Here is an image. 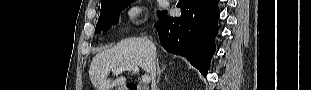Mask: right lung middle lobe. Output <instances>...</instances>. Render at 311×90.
I'll return each mask as SVG.
<instances>
[{
	"label": "right lung middle lobe",
	"mask_w": 311,
	"mask_h": 90,
	"mask_svg": "<svg viewBox=\"0 0 311 90\" xmlns=\"http://www.w3.org/2000/svg\"><path fill=\"white\" fill-rule=\"evenodd\" d=\"M132 0H109L101 4L100 17L95 28L96 33L107 31L111 26L116 25L119 20V13L131 3ZM162 12H158V17Z\"/></svg>",
	"instance_id": "right-lung-middle-lobe-1"
}]
</instances>
